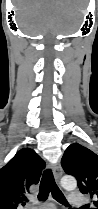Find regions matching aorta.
<instances>
[{"mask_svg": "<svg viewBox=\"0 0 98 209\" xmlns=\"http://www.w3.org/2000/svg\"><path fill=\"white\" fill-rule=\"evenodd\" d=\"M61 186L65 190H74L77 187V181L72 176H64L60 181Z\"/></svg>", "mask_w": 98, "mask_h": 209, "instance_id": "762f6f07", "label": "aorta"}]
</instances>
